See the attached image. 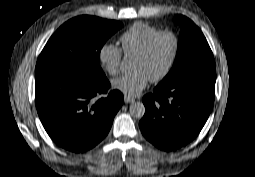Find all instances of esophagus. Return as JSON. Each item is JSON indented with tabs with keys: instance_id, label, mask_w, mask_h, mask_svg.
Wrapping results in <instances>:
<instances>
[{
	"instance_id": "1",
	"label": "esophagus",
	"mask_w": 255,
	"mask_h": 177,
	"mask_svg": "<svg viewBox=\"0 0 255 177\" xmlns=\"http://www.w3.org/2000/svg\"><path fill=\"white\" fill-rule=\"evenodd\" d=\"M135 100L133 98H130L129 96L125 95L124 96V102L127 104V103H132L134 102Z\"/></svg>"
}]
</instances>
